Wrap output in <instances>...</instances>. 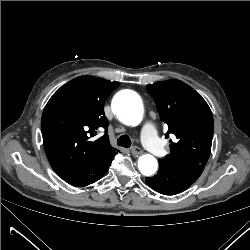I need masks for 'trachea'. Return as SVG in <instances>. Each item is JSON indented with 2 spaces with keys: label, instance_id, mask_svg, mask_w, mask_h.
Here are the masks:
<instances>
[{
  "label": "trachea",
  "instance_id": "1",
  "mask_svg": "<svg viewBox=\"0 0 250 250\" xmlns=\"http://www.w3.org/2000/svg\"><path fill=\"white\" fill-rule=\"evenodd\" d=\"M117 144L119 146H122V147H125V148H129L131 146V140H130L129 136L122 135V136H120L118 138Z\"/></svg>",
  "mask_w": 250,
  "mask_h": 250
}]
</instances>
